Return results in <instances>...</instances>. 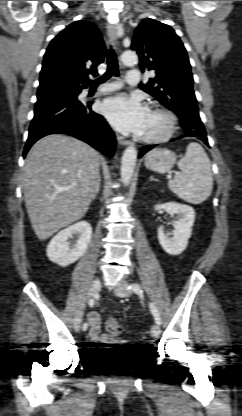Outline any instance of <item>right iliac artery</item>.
<instances>
[{
	"mask_svg": "<svg viewBox=\"0 0 242 416\" xmlns=\"http://www.w3.org/2000/svg\"><path fill=\"white\" fill-rule=\"evenodd\" d=\"M94 303H95L94 299H90L89 302H88L90 307H92L94 305ZM87 328H88V324L84 323L83 326H82V329L85 331V330H87Z\"/></svg>",
	"mask_w": 242,
	"mask_h": 416,
	"instance_id": "obj_1",
	"label": "right iliac artery"
}]
</instances>
